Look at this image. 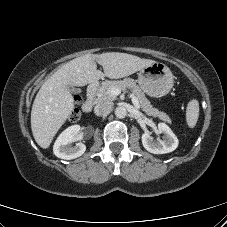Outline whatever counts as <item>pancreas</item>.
I'll use <instances>...</instances> for the list:
<instances>
[{
  "label": "pancreas",
  "instance_id": "cf45deb5",
  "mask_svg": "<svg viewBox=\"0 0 227 227\" xmlns=\"http://www.w3.org/2000/svg\"><path fill=\"white\" fill-rule=\"evenodd\" d=\"M118 88L123 90L125 88L131 89L133 93L136 95L137 100L139 101V105L141 109L149 116L158 117L164 122L171 123L170 117L164 113L159 111L150 104L149 100L146 98L145 94L142 92L140 87L136 85V82L131 78H126L121 81H105L99 86L96 90L97 101H113L116 99V96L112 95L111 89Z\"/></svg>",
  "mask_w": 227,
  "mask_h": 227
}]
</instances>
